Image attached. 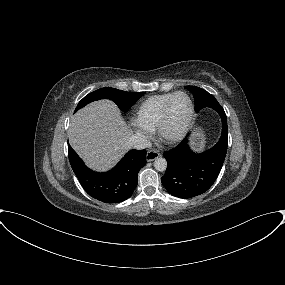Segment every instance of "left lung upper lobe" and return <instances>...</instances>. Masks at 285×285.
<instances>
[{
  "label": "left lung upper lobe",
  "mask_w": 285,
  "mask_h": 285,
  "mask_svg": "<svg viewBox=\"0 0 285 285\" xmlns=\"http://www.w3.org/2000/svg\"><path fill=\"white\" fill-rule=\"evenodd\" d=\"M185 88L194 95L196 112L204 107H213L215 105H219L215 97L206 90L196 86H185Z\"/></svg>",
  "instance_id": "1"
}]
</instances>
